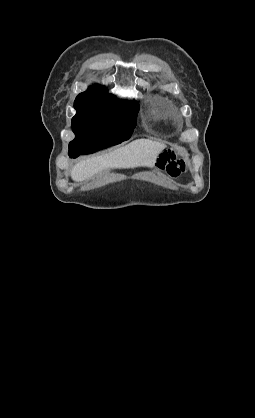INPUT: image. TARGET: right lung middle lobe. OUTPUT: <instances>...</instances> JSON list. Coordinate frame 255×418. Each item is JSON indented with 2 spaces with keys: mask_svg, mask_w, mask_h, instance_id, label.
I'll return each mask as SVG.
<instances>
[{
  "mask_svg": "<svg viewBox=\"0 0 255 418\" xmlns=\"http://www.w3.org/2000/svg\"><path fill=\"white\" fill-rule=\"evenodd\" d=\"M72 118L76 138L69 144L73 157L128 140L136 125L139 105L117 100L108 93L78 95Z\"/></svg>",
  "mask_w": 255,
  "mask_h": 418,
  "instance_id": "1",
  "label": "right lung middle lobe"
}]
</instances>
